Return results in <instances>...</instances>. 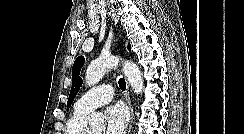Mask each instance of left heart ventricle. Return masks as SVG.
I'll list each match as a JSON object with an SVG mask.
<instances>
[{
    "label": "left heart ventricle",
    "mask_w": 244,
    "mask_h": 134,
    "mask_svg": "<svg viewBox=\"0 0 244 134\" xmlns=\"http://www.w3.org/2000/svg\"><path fill=\"white\" fill-rule=\"evenodd\" d=\"M92 134H104L103 128H98L92 131Z\"/></svg>",
    "instance_id": "1"
}]
</instances>
